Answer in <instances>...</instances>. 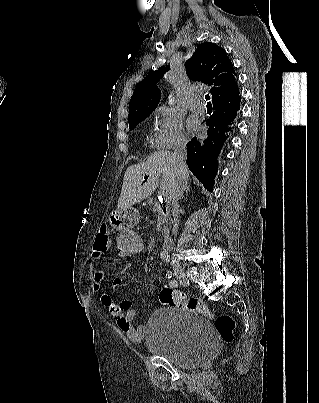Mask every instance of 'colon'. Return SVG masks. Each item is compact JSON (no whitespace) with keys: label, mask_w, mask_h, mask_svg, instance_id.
I'll use <instances>...</instances> for the list:
<instances>
[{"label":"colon","mask_w":319,"mask_h":403,"mask_svg":"<svg viewBox=\"0 0 319 403\" xmlns=\"http://www.w3.org/2000/svg\"><path fill=\"white\" fill-rule=\"evenodd\" d=\"M115 252L119 254L120 260H125L123 265L128 267V260H138L139 254H145L144 234H135L134 231H127L126 234L115 235ZM160 301L163 305L186 309L200 313L206 317L214 319L215 329L220 338L230 343L234 339V318L229 314H216L204 303L196 298H187L183 293L173 288H164L160 292Z\"/></svg>","instance_id":"1"}]
</instances>
